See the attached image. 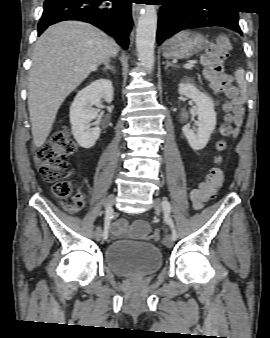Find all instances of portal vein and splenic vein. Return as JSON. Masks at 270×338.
<instances>
[{"mask_svg":"<svg viewBox=\"0 0 270 338\" xmlns=\"http://www.w3.org/2000/svg\"><path fill=\"white\" fill-rule=\"evenodd\" d=\"M193 67H194V62H189V63L184 65V68H186V69H191Z\"/></svg>","mask_w":270,"mask_h":338,"instance_id":"portal-vein-and-splenic-vein-1","label":"portal vein and splenic vein"}]
</instances>
